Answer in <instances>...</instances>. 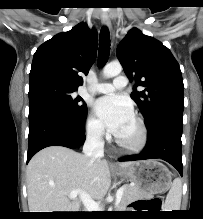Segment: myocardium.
<instances>
[{
  "label": "myocardium",
  "mask_w": 203,
  "mask_h": 219,
  "mask_svg": "<svg viewBox=\"0 0 203 219\" xmlns=\"http://www.w3.org/2000/svg\"><path fill=\"white\" fill-rule=\"evenodd\" d=\"M133 118L135 122L138 125L139 128V138L136 142L134 143H127L122 140H120L116 135H115V143L119 148H121L124 151L130 152V153H138L142 151L148 141V130L146 127V124L144 120L137 114L133 115Z\"/></svg>",
  "instance_id": "myocardium-1"
}]
</instances>
